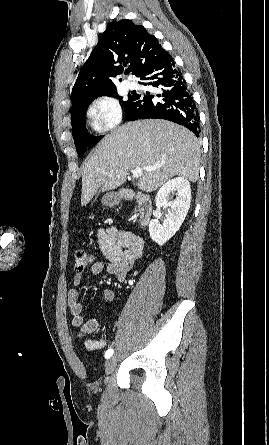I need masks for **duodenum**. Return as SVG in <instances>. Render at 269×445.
Wrapping results in <instances>:
<instances>
[{
	"label": "duodenum",
	"instance_id": "duodenum-1",
	"mask_svg": "<svg viewBox=\"0 0 269 445\" xmlns=\"http://www.w3.org/2000/svg\"><path fill=\"white\" fill-rule=\"evenodd\" d=\"M121 196L127 200H135L138 205V222L141 227L149 224L152 214V203L150 198L143 193L134 192L130 189H124Z\"/></svg>",
	"mask_w": 269,
	"mask_h": 445
}]
</instances>
